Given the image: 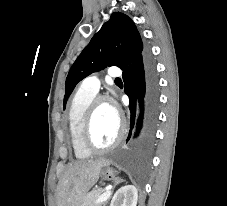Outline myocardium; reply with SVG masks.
<instances>
[{
  "label": "myocardium",
  "instance_id": "myocardium-1",
  "mask_svg": "<svg viewBox=\"0 0 227 206\" xmlns=\"http://www.w3.org/2000/svg\"><path fill=\"white\" fill-rule=\"evenodd\" d=\"M103 103H111L107 96L99 95L88 105L81 124V142L82 145L91 153H104L115 148L121 141L124 132V123L122 118L118 115V132L114 141L105 147L97 146L92 138L93 121L98 107Z\"/></svg>",
  "mask_w": 227,
  "mask_h": 206
}]
</instances>
